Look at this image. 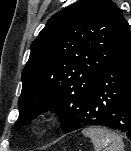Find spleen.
<instances>
[{"mask_svg": "<svg viewBox=\"0 0 131 151\" xmlns=\"http://www.w3.org/2000/svg\"><path fill=\"white\" fill-rule=\"evenodd\" d=\"M90 138L95 151H124V144L119 135L101 127H89L82 131Z\"/></svg>", "mask_w": 131, "mask_h": 151, "instance_id": "spleen-1", "label": "spleen"}]
</instances>
